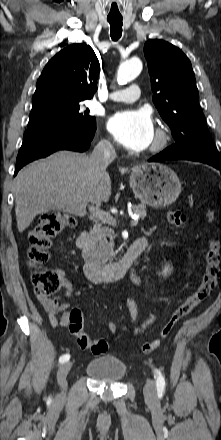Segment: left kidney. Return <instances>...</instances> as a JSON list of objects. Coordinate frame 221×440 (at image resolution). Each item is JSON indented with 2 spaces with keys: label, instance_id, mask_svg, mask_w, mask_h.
Masks as SVG:
<instances>
[{
  "label": "left kidney",
  "instance_id": "1",
  "mask_svg": "<svg viewBox=\"0 0 221 440\" xmlns=\"http://www.w3.org/2000/svg\"><path fill=\"white\" fill-rule=\"evenodd\" d=\"M171 270H172V268H170V266L167 265V266H165V268L163 269L161 274L165 277L171 272Z\"/></svg>",
  "mask_w": 221,
  "mask_h": 440
}]
</instances>
